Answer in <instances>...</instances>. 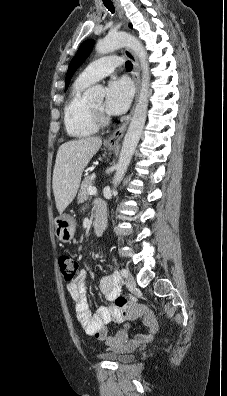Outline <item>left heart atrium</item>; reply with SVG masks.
I'll return each mask as SVG.
<instances>
[{
	"instance_id": "1",
	"label": "left heart atrium",
	"mask_w": 227,
	"mask_h": 396,
	"mask_svg": "<svg viewBox=\"0 0 227 396\" xmlns=\"http://www.w3.org/2000/svg\"><path fill=\"white\" fill-rule=\"evenodd\" d=\"M133 88L131 83L124 78L113 79L106 90L104 108L107 113L120 115L124 113L132 100Z\"/></svg>"
}]
</instances>
